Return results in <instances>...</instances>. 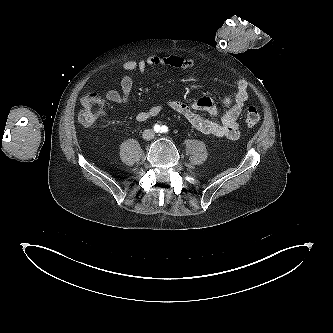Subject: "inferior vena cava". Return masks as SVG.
I'll return each instance as SVG.
<instances>
[{"label":"inferior vena cava","instance_id":"obj_1","mask_svg":"<svg viewBox=\"0 0 333 333\" xmlns=\"http://www.w3.org/2000/svg\"><path fill=\"white\" fill-rule=\"evenodd\" d=\"M154 131L152 130V129H146V130H144V132H143V138L145 139V140H151V139H153L154 138Z\"/></svg>","mask_w":333,"mask_h":333}]
</instances>
